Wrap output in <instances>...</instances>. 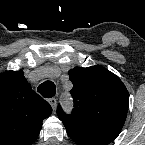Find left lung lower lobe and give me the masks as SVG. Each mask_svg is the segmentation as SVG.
<instances>
[{"label": "left lung lower lobe", "mask_w": 145, "mask_h": 145, "mask_svg": "<svg viewBox=\"0 0 145 145\" xmlns=\"http://www.w3.org/2000/svg\"><path fill=\"white\" fill-rule=\"evenodd\" d=\"M69 137L78 145H107L119 135L118 127H89L65 125Z\"/></svg>", "instance_id": "1"}]
</instances>
